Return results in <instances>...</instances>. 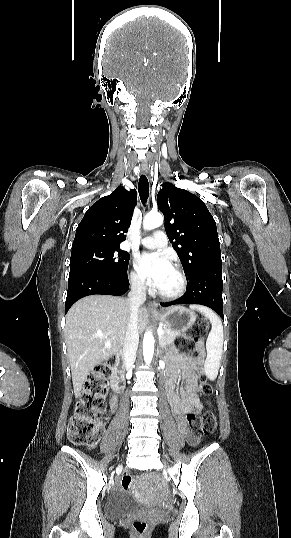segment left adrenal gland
<instances>
[{
	"mask_svg": "<svg viewBox=\"0 0 291 538\" xmlns=\"http://www.w3.org/2000/svg\"><path fill=\"white\" fill-rule=\"evenodd\" d=\"M161 351H162V350L159 349V346H158V348H157V353H158V355H160Z\"/></svg>",
	"mask_w": 291,
	"mask_h": 538,
	"instance_id": "1",
	"label": "left adrenal gland"
}]
</instances>
